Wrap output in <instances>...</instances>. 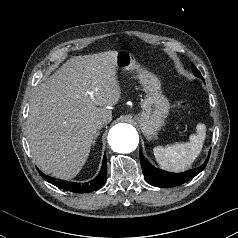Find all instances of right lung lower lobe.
I'll list each match as a JSON object with an SVG mask.
<instances>
[{
    "instance_id": "right-lung-lower-lobe-1",
    "label": "right lung lower lobe",
    "mask_w": 238,
    "mask_h": 238,
    "mask_svg": "<svg viewBox=\"0 0 238 238\" xmlns=\"http://www.w3.org/2000/svg\"><path fill=\"white\" fill-rule=\"evenodd\" d=\"M106 156L103 157V164L101 167V170L98 174V176L93 179L92 181L86 182V183H73V182H67L64 180H56L53 177L47 176L43 174L42 172L39 173L40 175L48 182L52 183L53 185L67 190L71 192L76 193H87L96 190L97 188L101 187L105 181H106V167H107V161Z\"/></svg>"
}]
</instances>
